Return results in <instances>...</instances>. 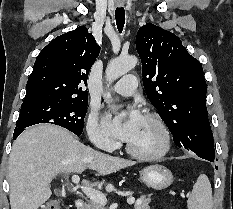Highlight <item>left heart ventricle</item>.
Here are the masks:
<instances>
[{
    "instance_id": "left-heart-ventricle-1",
    "label": "left heart ventricle",
    "mask_w": 233,
    "mask_h": 209,
    "mask_svg": "<svg viewBox=\"0 0 233 209\" xmlns=\"http://www.w3.org/2000/svg\"><path fill=\"white\" fill-rule=\"evenodd\" d=\"M162 137L158 127L144 117L129 145L139 152H153L161 146Z\"/></svg>"
}]
</instances>
